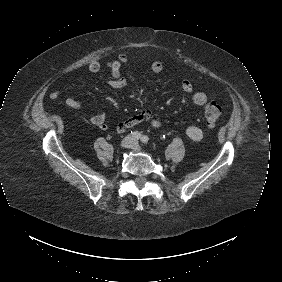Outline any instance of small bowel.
<instances>
[{
	"mask_svg": "<svg viewBox=\"0 0 282 282\" xmlns=\"http://www.w3.org/2000/svg\"><path fill=\"white\" fill-rule=\"evenodd\" d=\"M128 62V55L126 53H120L116 59L108 64V69L112 74V80L107 82L110 87H123L127 83V79L121 75L120 71L123 65ZM100 63L96 60L91 61L87 66V71L89 73H97L100 70ZM150 69L154 73H160L163 70V64L159 60H153L150 62ZM181 89L185 94H187L191 100L198 106H203L206 104L208 97L205 93L200 91H195L191 81L184 79L180 83ZM61 95L60 88H54L50 93V98L56 99ZM65 105L74 110H82L84 108L83 103L73 97H67L65 99ZM87 120L97 128L101 130H107L112 125L107 122V115L104 110H100L98 113L93 115H88ZM142 123H149L153 128H163L168 122L164 119L154 117L151 110L146 109L137 114H134L120 122L113 125L115 131L118 134L125 132L126 130L137 126ZM185 133L189 139L194 142H200L203 139V131L194 125H189L185 127Z\"/></svg>",
	"mask_w": 282,
	"mask_h": 282,
	"instance_id": "small-bowel-1",
	"label": "small bowel"
}]
</instances>
